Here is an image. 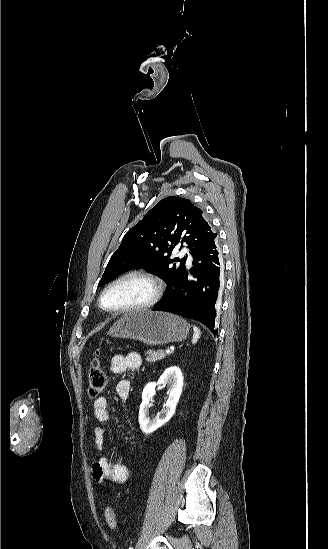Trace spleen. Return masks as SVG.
<instances>
[{
    "label": "spleen",
    "instance_id": "spleen-1",
    "mask_svg": "<svg viewBox=\"0 0 328 549\" xmlns=\"http://www.w3.org/2000/svg\"><path fill=\"white\" fill-rule=\"evenodd\" d=\"M193 337H192V343L193 345H195V343H197V341H199L200 339V335H201V331L200 329H198V327H193Z\"/></svg>",
    "mask_w": 328,
    "mask_h": 549
}]
</instances>
